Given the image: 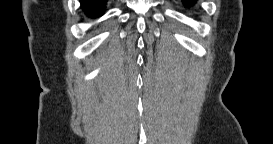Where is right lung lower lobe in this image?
Wrapping results in <instances>:
<instances>
[{
  "instance_id": "1",
  "label": "right lung lower lobe",
  "mask_w": 273,
  "mask_h": 144,
  "mask_svg": "<svg viewBox=\"0 0 273 144\" xmlns=\"http://www.w3.org/2000/svg\"><path fill=\"white\" fill-rule=\"evenodd\" d=\"M81 6L90 17H99L104 13L107 0H80Z\"/></svg>"
}]
</instances>
